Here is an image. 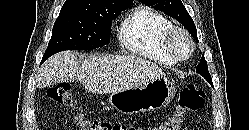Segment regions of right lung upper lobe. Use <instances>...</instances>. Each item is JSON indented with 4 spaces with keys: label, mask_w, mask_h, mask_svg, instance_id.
<instances>
[{
    "label": "right lung upper lobe",
    "mask_w": 249,
    "mask_h": 130,
    "mask_svg": "<svg viewBox=\"0 0 249 130\" xmlns=\"http://www.w3.org/2000/svg\"><path fill=\"white\" fill-rule=\"evenodd\" d=\"M133 0H66L62 8L97 11L113 4H132Z\"/></svg>",
    "instance_id": "1"
}]
</instances>
